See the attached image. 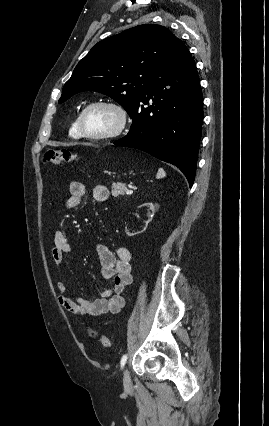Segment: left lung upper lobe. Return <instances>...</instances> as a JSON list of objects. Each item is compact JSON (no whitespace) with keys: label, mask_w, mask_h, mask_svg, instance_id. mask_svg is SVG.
Instances as JSON below:
<instances>
[{"label":"left lung upper lobe","mask_w":269,"mask_h":426,"mask_svg":"<svg viewBox=\"0 0 269 426\" xmlns=\"http://www.w3.org/2000/svg\"><path fill=\"white\" fill-rule=\"evenodd\" d=\"M176 39L163 26L144 24L100 41L74 69L59 103L82 91H97L129 113L148 90L151 75Z\"/></svg>","instance_id":"5c2ea615"}]
</instances>
